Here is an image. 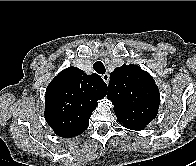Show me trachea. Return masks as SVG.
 <instances>
[{
	"label": "trachea",
	"instance_id": "1",
	"mask_svg": "<svg viewBox=\"0 0 196 166\" xmlns=\"http://www.w3.org/2000/svg\"><path fill=\"white\" fill-rule=\"evenodd\" d=\"M93 67L98 74H104L106 71L105 66L101 61L95 62Z\"/></svg>",
	"mask_w": 196,
	"mask_h": 166
}]
</instances>
